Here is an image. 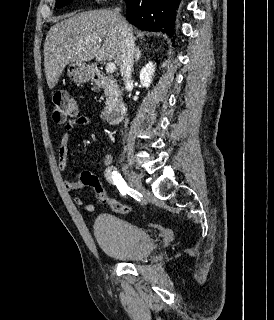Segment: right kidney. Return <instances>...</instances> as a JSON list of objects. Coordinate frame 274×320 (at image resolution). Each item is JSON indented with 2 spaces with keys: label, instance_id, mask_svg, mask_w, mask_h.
Instances as JSON below:
<instances>
[{
  "label": "right kidney",
  "instance_id": "ca27d5eb",
  "mask_svg": "<svg viewBox=\"0 0 274 320\" xmlns=\"http://www.w3.org/2000/svg\"><path fill=\"white\" fill-rule=\"evenodd\" d=\"M154 72L155 64H153V62H149V64H146V66L140 70L139 80L143 88H150L153 82Z\"/></svg>",
  "mask_w": 274,
  "mask_h": 320
}]
</instances>
